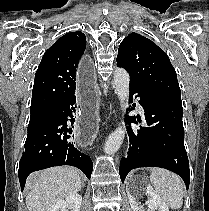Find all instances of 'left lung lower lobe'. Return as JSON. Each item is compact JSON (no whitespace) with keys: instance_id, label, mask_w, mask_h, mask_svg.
Returning <instances> with one entry per match:
<instances>
[{"instance_id":"obj_1","label":"left lung lower lobe","mask_w":209,"mask_h":211,"mask_svg":"<svg viewBox=\"0 0 209 211\" xmlns=\"http://www.w3.org/2000/svg\"><path fill=\"white\" fill-rule=\"evenodd\" d=\"M137 94L144 108L145 121L149 127H127L129 156L120 162V178L124 182L128 172L139 167L168 169L184 180L189 188L190 172L184 146L183 108L181 100L152 95L133 83L130 94ZM137 124L141 119L129 118Z\"/></svg>"}]
</instances>
